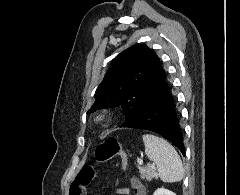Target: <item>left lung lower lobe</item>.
I'll return each instance as SVG.
<instances>
[{
	"instance_id": "left-lung-lower-lobe-1",
	"label": "left lung lower lobe",
	"mask_w": 240,
	"mask_h": 195,
	"mask_svg": "<svg viewBox=\"0 0 240 195\" xmlns=\"http://www.w3.org/2000/svg\"><path fill=\"white\" fill-rule=\"evenodd\" d=\"M120 127L156 132L172 142L184 155L179 116L167 81L152 95L129 122Z\"/></svg>"
}]
</instances>
